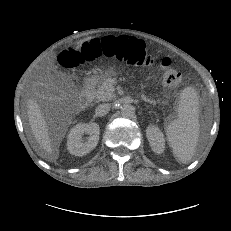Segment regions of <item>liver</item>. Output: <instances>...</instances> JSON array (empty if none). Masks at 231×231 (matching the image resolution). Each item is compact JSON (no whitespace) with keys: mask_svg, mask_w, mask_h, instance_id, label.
Masks as SVG:
<instances>
[{"mask_svg":"<svg viewBox=\"0 0 231 231\" xmlns=\"http://www.w3.org/2000/svg\"><path fill=\"white\" fill-rule=\"evenodd\" d=\"M89 40L90 39L88 38L86 40L77 42L75 44L76 48L79 49L84 41ZM27 108V114L32 133L41 149L40 155L49 160L55 158L56 156L54 154V149L52 148L47 123L39 104L34 99H29L27 103Z\"/></svg>","mask_w":231,"mask_h":231,"instance_id":"obj_1","label":"liver"}]
</instances>
